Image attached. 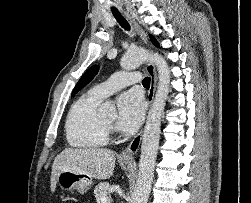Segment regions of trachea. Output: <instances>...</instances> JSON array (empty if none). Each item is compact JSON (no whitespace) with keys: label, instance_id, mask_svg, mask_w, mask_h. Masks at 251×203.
Wrapping results in <instances>:
<instances>
[{"label":"trachea","instance_id":"3493384b","mask_svg":"<svg viewBox=\"0 0 251 203\" xmlns=\"http://www.w3.org/2000/svg\"><path fill=\"white\" fill-rule=\"evenodd\" d=\"M112 13L118 23L123 27L125 30H130V25L127 20L121 15V13L117 10H112ZM143 86H150V77H145L142 81Z\"/></svg>","mask_w":251,"mask_h":203}]
</instances>
